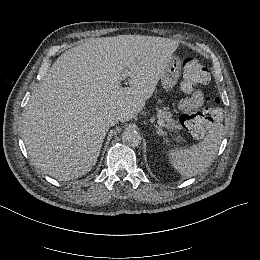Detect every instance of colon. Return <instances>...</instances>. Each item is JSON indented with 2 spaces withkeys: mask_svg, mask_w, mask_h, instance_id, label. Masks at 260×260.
I'll list each match as a JSON object with an SVG mask.
<instances>
[{
  "mask_svg": "<svg viewBox=\"0 0 260 260\" xmlns=\"http://www.w3.org/2000/svg\"><path fill=\"white\" fill-rule=\"evenodd\" d=\"M183 81L181 84L183 92L189 97L184 103L191 105V97L197 93V89L203 88L210 80V73L201 62L194 57H189L183 64ZM201 97L197 96L200 101ZM210 122L209 114L198 108L185 109L182 111V123L187 131L193 135H199Z\"/></svg>",
  "mask_w": 260,
  "mask_h": 260,
  "instance_id": "obj_1",
  "label": "colon"
}]
</instances>
